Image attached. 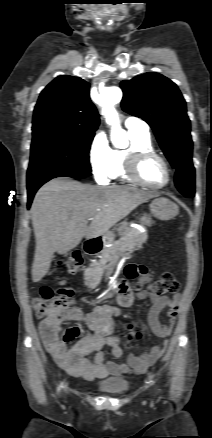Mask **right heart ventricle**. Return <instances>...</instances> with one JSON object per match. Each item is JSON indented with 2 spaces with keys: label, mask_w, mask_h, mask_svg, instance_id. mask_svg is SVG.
Returning <instances> with one entry per match:
<instances>
[{
  "label": "right heart ventricle",
  "mask_w": 212,
  "mask_h": 438,
  "mask_svg": "<svg viewBox=\"0 0 212 438\" xmlns=\"http://www.w3.org/2000/svg\"><path fill=\"white\" fill-rule=\"evenodd\" d=\"M130 144L126 149L111 150L112 168L109 174L110 179H118L123 182H132L126 175L125 165L128 154L134 150L154 151L151 137L148 134L128 131Z\"/></svg>",
  "instance_id": "1"
}]
</instances>
